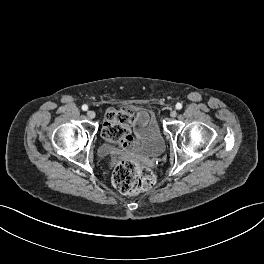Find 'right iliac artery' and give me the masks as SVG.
Listing matches in <instances>:
<instances>
[{
	"mask_svg": "<svg viewBox=\"0 0 264 264\" xmlns=\"http://www.w3.org/2000/svg\"><path fill=\"white\" fill-rule=\"evenodd\" d=\"M82 110L87 111V110H88V106L84 104V105L82 106Z\"/></svg>",
	"mask_w": 264,
	"mask_h": 264,
	"instance_id": "obj_1",
	"label": "right iliac artery"
}]
</instances>
